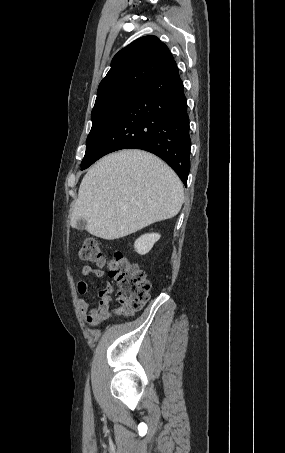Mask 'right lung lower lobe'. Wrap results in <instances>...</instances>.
Segmentation results:
<instances>
[{
	"mask_svg": "<svg viewBox=\"0 0 285 453\" xmlns=\"http://www.w3.org/2000/svg\"><path fill=\"white\" fill-rule=\"evenodd\" d=\"M125 148L149 151L163 159L186 185L190 171L189 117L177 66L141 86L120 114L93 163Z\"/></svg>",
	"mask_w": 285,
	"mask_h": 453,
	"instance_id": "right-lung-lower-lobe-1",
	"label": "right lung lower lobe"
}]
</instances>
